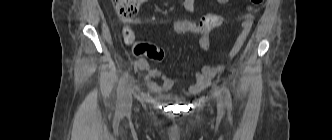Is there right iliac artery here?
Masks as SVG:
<instances>
[{
	"label": "right iliac artery",
	"mask_w": 332,
	"mask_h": 140,
	"mask_svg": "<svg viewBox=\"0 0 332 140\" xmlns=\"http://www.w3.org/2000/svg\"><path fill=\"white\" fill-rule=\"evenodd\" d=\"M129 72H126L124 76L120 79L118 88H117V109L120 111L122 108L123 94L125 91L126 80L128 78Z\"/></svg>",
	"instance_id": "right-iliac-artery-1"
}]
</instances>
